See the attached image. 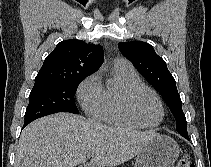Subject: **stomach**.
<instances>
[{
  "mask_svg": "<svg viewBox=\"0 0 211 167\" xmlns=\"http://www.w3.org/2000/svg\"><path fill=\"white\" fill-rule=\"evenodd\" d=\"M180 153L176 141L155 133L154 137L137 155L134 167H173Z\"/></svg>",
  "mask_w": 211,
  "mask_h": 167,
  "instance_id": "obj_1",
  "label": "stomach"
}]
</instances>
